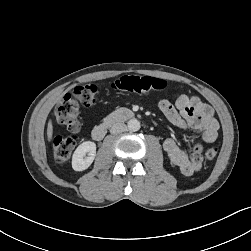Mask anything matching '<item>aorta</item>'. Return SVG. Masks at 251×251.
Returning a JSON list of instances; mask_svg holds the SVG:
<instances>
[{
  "mask_svg": "<svg viewBox=\"0 0 251 251\" xmlns=\"http://www.w3.org/2000/svg\"><path fill=\"white\" fill-rule=\"evenodd\" d=\"M128 130L131 132H136L140 129V122L137 119H131L127 123Z\"/></svg>",
  "mask_w": 251,
  "mask_h": 251,
  "instance_id": "aorta-1",
  "label": "aorta"
}]
</instances>
